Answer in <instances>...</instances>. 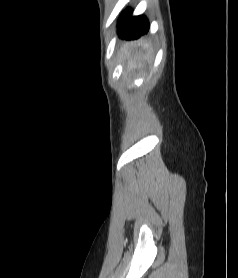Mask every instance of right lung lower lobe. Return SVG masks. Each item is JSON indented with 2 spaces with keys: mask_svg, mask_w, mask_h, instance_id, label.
Listing matches in <instances>:
<instances>
[{
  "mask_svg": "<svg viewBox=\"0 0 238 278\" xmlns=\"http://www.w3.org/2000/svg\"><path fill=\"white\" fill-rule=\"evenodd\" d=\"M149 30V23L144 16L132 17L131 10H127L119 19L118 35L123 39H135Z\"/></svg>",
  "mask_w": 238,
  "mask_h": 278,
  "instance_id": "obj_1",
  "label": "right lung lower lobe"
}]
</instances>
